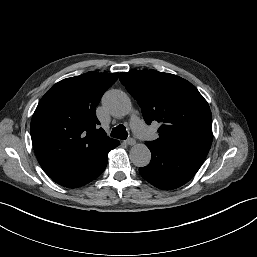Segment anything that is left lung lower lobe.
Listing matches in <instances>:
<instances>
[{"label":"left lung lower lobe","mask_w":257,"mask_h":257,"mask_svg":"<svg viewBox=\"0 0 257 257\" xmlns=\"http://www.w3.org/2000/svg\"><path fill=\"white\" fill-rule=\"evenodd\" d=\"M152 158L140 168L141 176L152 185L171 190L187 183L199 170L208 151L201 148L166 149L146 143Z\"/></svg>","instance_id":"0a47b994"}]
</instances>
